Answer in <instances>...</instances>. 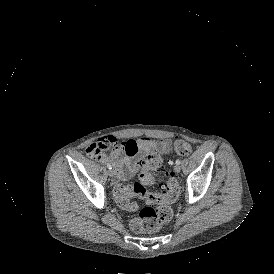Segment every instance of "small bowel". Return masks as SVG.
Returning a JSON list of instances; mask_svg holds the SVG:
<instances>
[{"mask_svg":"<svg viewBox=\"0 0 274 274\" xmlns=\"http://www.w3.org/2000/svg\"><path fill=\"white\" fill-rule=\"evenodd\" d=\"M179 140L181 139H177L175 143ZM163 143L172 145L169 139L156 140L140 137L137 140L119 141L115 137L108 136L89 145L86 153L92 160L112 166L113 180L118 184L131 179L148 156L162 153L161 145ZM108 149L110 152H106Z\"/></svg>","mask_w":274,"mask_h":274,"instance_id":"small-bowel-1","label":"small bowel"}]
</instances>
